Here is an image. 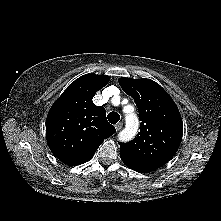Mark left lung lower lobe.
<instances>
[{"label":"left lung lower lobe","instance_id":"0a47b994","mask_svg":"<svg viewBox=\"0 0 221 221\" xmlns=\"http://www.w3.org/2000/svg\"><path fill=\"white\" fill-rule=\"evenodd\" d=\"M123 162H124V161H123ZM124 164H125L126 166H128L129 168H131V169L137 171V172L148 173V171L141 170V169H139V168H137V167H134V166H132V165L126 163V162H124Z\"/></svg>","mask_w":221,"mask_h":221}]
</instances>
